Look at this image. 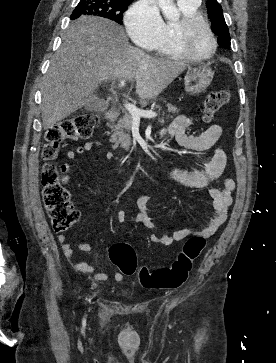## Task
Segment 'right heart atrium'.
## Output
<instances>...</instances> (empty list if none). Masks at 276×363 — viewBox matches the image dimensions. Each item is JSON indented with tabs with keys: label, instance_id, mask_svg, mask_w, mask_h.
Instances as JSON below:
<instances>
[{
	"label": "right heart atrium",
	"instance_id": "d8ad5b80",
	"mask_svg": "<svg viewBox=\"0 0 276 363\" xmlns=\"http://www.w3.org/2000/svg\"><path fill=\"white\" fill-rule=\"evenodd\" d=\"M125 24L132 40L150 48L160 37L164 22L154 0H138L127 11Z\"/></svg>",
	"mask_w": 276,
	"mask_h": 363
}]
</instances>
